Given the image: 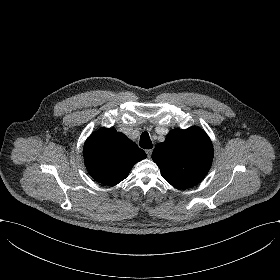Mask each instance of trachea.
<instances>
[{"label": "trachea", "mask_w": 280, "mask_h": 280, "mask_svg": "<svg viewBox=\"0 0 280 280\" xmlns=\"http://www.w3.org/2000/svg\"><path fill=\"white\" fill-rule=\"evenodd\" d=\"M139 144H140V147L144 148V149L152 148V142H151L149 134L147 132L142 133Z\"/></svg>", "instance_id": "trachea-1"}]
</instances>
